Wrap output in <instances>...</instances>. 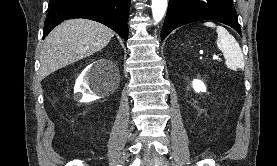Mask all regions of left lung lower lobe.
<instances>
[{
  "label": "left lung lower lobe",
  "instance_id": "obj_1",
  "mask_svg": "<svg viewBox=\"0 0 277 166\" xmlns=\"http://www.w3.org/2000/svg\"><path fill=\"white\" fill-rule=\"evenodd\" d=\"M202 20L224 23L242 36L231 0H170L161 30V40L180 26Z\"/></svg>",
  "mask_w": 277,
  "mask_h": 166
}]
</instances>
